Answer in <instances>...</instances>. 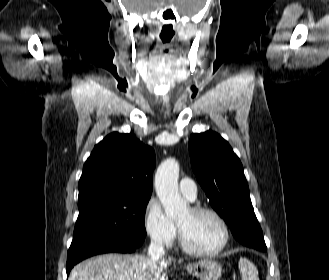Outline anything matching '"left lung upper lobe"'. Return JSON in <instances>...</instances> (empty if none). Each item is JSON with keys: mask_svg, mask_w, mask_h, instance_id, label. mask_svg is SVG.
Instances as JSON below:
<instances>
[{"mask_svg": "<svg viewBox=\"0 0 329 280\" xmlns=\"http://www.w3.org/2000/svg\"><path fill=\"white\" fill-rule=\"evenodd\" d=\"M189 152L192 169L210 205L226 220L232 234L257 224L242 164L228 142L210 130L192 134ZM239 242L253 248L266 247L262 231L248 234Z\"/></svg>", "mask_w": 329, "mask_h": 280, "instance_id": "obj_1", "label": "left lung upper lobe"}]
</instances>
